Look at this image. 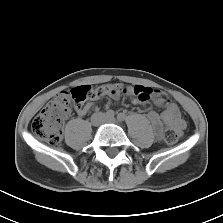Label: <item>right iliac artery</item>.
<instances>
[{
    "label": "right iliac artery",
    "mask_w": 223,
    "mask_h": 223,
    "mask_svg": "<svg viewBox=\"0 0 223 223\" xmlns=\"http://www.w3.org/2000/svg\"><path fill=\"white\" fill-rule=\"evenodd\" d=\"M106 115H107V117H114V111H112V110H108L107 112H106Z\"/></svg>",
    "instance_id": "obj_1"
}]
</instances>
